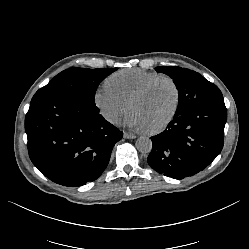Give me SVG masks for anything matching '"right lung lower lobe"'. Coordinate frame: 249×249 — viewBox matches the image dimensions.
Listing matches in <instances>:
<instances>
[{
    "mask_svg": "<svg viewBox=\"0 0 249 249\" xmlns=\"http://www.w3.org/2000/svg\"><path fill=\"white\" fill-rule=\"evenodd\" d=\"M25 131L33 164L50 180L72 187L97 179L123 136L98 107L72 97L32 102Z\"/></svg>",
    "mask_w": 249,
    "mask_h": 249,
    "instance_id": "98d812e1",
    "label": "right lung lower lobe"
}]
</instances>
